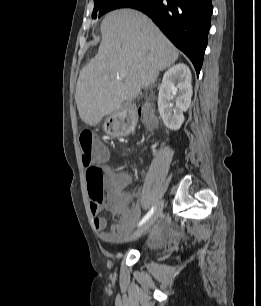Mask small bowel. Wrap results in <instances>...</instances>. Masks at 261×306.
<instances>
[{"mask_svg": "<svg viewBox=\"0 0 261 306\" xmlns=\"http://www.w3.org/2000/svg\"><path fill=\"white\" fill-rule=\"evenodd\" d=\"M131 183V176L127 171H119L111 176L108 184L107 199L104 204L91 203L90 211L94 217V227L101 240L108 245H115L125 241L134 224L140 218L141 209L137 201H130L125 194ZM107 208L113 215V223L108 228L105 218L98 213Z\"/></svg>", "mask_w": 261, "mask_h": 306, "instance_id": "1", "label": "small bowel"}]
</instances>
